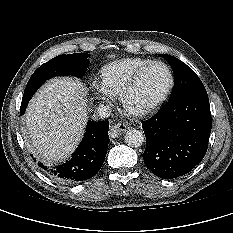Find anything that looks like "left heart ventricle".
I'll return each mask as SVG.
<instances>
[{
	"instance_id": "1",
	"label": "left heart ventricle",
	"mask_w": 233,
	"mask_h": 233,
	"mask_svg": "<svg viewBox=\"0 0 233 233\" xmlns=\"http://www.w3.org/2000/svg\"><path fill=\"white\" fill-rule=\"evenodd\" d=\"M168 82L169 75L164 67L150 68L130 96V105L135 109L150 105L162 94Z\"/></svg>"
}]
</instances>
